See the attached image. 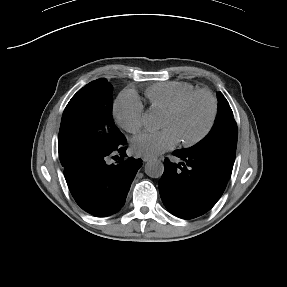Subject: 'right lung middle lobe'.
I'll list each match as a JSON object with an SVG mask.
<instances>
[{
	"label": "right lung middle lobe",
	"mask_w": 287,
	"mask_h": 287,
	"mask_svg": "<svg viewBox=\"0 0 287 287\" xmlns=\"http://www.w3.org/2000/svg\"><path fill=\"white\" fill-rule=\"evenodd\" d=\"M111 95L112 85L100 78L85 85L67 104L58 138L64 168L83 157L117 147L124 140L112 118Z\"/></svg>",
	"instance_id": "1"
}]
</instances>
